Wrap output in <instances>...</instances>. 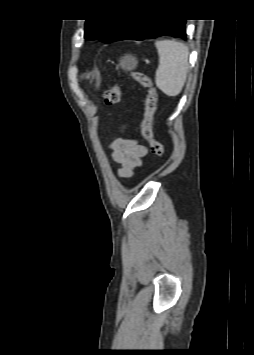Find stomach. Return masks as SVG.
Wrapping results in <instances>:
<instances>
[{
    "label": "stomach",
    "mask_w": 254,
    "mask_h": 355,
    "mask_svg": "<svg viewBox=\"0 0 254 355\" xmlns=\"http://www.w3.org/2000/svg\"><path fill=\"white\" fill-rule=\"evenodd\" d=\"M120 66L125 71L133 70L137 66V60L133 55H125L120 59Z\"/></svg>",
    "instance_id": "1"
}]
</instances>
